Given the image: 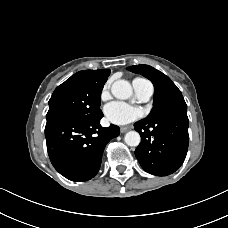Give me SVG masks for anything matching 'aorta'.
I'll use <instances>...</instances> for the list:
<instances>
[{"mask_svg":"<svg viewBox=\"0 0 228 228\" xmlns=\"http://www.w3.org/2000/svg\"><path fill=\"white\" fill-rule=\"evenodd\" d=\"M111 93L118 99H128L132 96V87L126 80H117L111 86ZM125 143L130 147H136L140 144L141 138L138 132L130 131L125 135Z\"/></svg>","mask_w":228,"mask_h":228,"instance_id":"762f6f07","label":"aorta"}]
</instances>
